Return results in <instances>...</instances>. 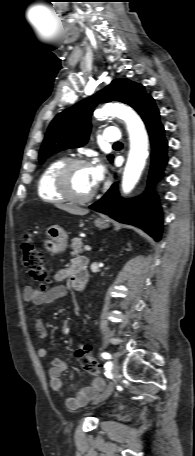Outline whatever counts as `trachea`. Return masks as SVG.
Segmentation results:
<instances>
[{
	"label": "trachea",
	"mask_w": 195,
	"mask_h": 456,
	"mask_svg": "<svg viewBox=\"0 0 195 456\" xmlns=\"http://www.w3.org/2000/svg\"><path fill=\"white\" fill-rule=\"evenodd\" d=\"M119 145H122V143H121V142H116V143L114 144V146H119Z\"/></svg>",
	"instance_id": "obj_1"
}]
</instances>
